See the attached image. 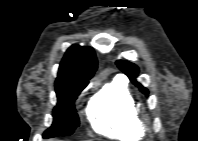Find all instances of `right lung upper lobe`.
<instances>
[{
    "instance_id": "right-lung-upper-lobe-1",
    "label": "right lung upper lobe",
    "mask_w": 198,
    "mask_h": 141,
    "mask_svg": "<svg viewBox=\"0 0 198 141\" xmlns=\"http://www.w3.org/2000/svg\"><path fill=\"white\" fill-rule=\"evenodd\" d=\"M97 69V59L91 47L71 46L61 61L55 85L87 83Z\"/></svg>"
}]
</instances>
